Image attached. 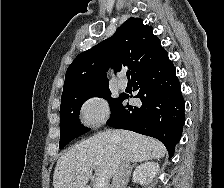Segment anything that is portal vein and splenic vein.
<instances>
[{"mask_svg": "<svg viewBox=\"0 0 224 188\" xmlns=\"http://www.w3.org/2000/svg\"><path fill=\"white\" fill-rule=\"evenodd\" d=\"M87 171V169H81L78 172L82 173ZM96 188H108V180L105 177H97L95 181Z\"/></svg>", "mask_w": 224, "mask_h": 188, "instance_id": "obj_1", "label": "portal vein and splenic vein"}]
</instances>
